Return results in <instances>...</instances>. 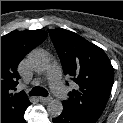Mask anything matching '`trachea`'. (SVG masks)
I'll return each mask as SVG.
<instances>
[{
  "mask_svg": "<svg viewBox=\"0 0 123 123\" xmlns=\"http://www.w3.org/2000/svg\"><path fill=\"white\" fill-rule=\"evenodd\" d=\"M30 95L46 97L48 95V91L43 87L35 86L32 88Z\"/></svg>",
  "mask_w": 123,
  "mask_h": 123,
  "instance_id": "3493384b",
  "label": "trachea"
}]
</instances>
